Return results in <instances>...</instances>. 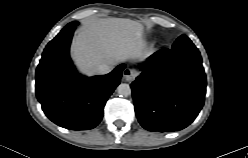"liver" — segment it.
Masks as SVG:
<instances>
[{"mask_svg":"<svg viewBox=\"0 0 248 158\" xmlns=\"http://www.w3.org/2000/svg\"><path fill=\"white\" fill-rule=\"evenodd\" d=\"M143 26L124 18L94 20L82 26L74 37L71 56L81 72L98 74L102 64L145 58Z\"/></svg>","mask_w":248,"mask_h":158,"instance_id":"liver-1","label":"liver"}]
</instances>
